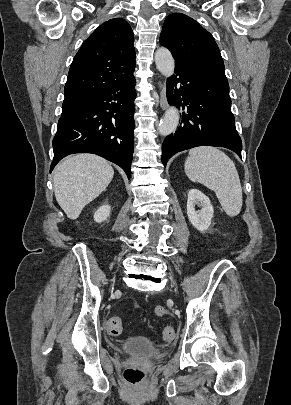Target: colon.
<instances>
[{"instance_id": "colon-1", "label": "colon", "mask_w": 291, "mask_h": 405, "mask_svg": "<svg viewBox=\"0 0 291 405\" xmlns=\"http://www.w3.org/2000/svg\"><path fill=\"white\" fill-rule=\"evenodd\" d=\"M155 313L162 317L168 314L167 310L162 306H157L155 308ZM108 331L112 336H119L122 333V320L119 316H114L108 321ZM162 337L165 342H172L176 337V332L173 327H165L162 332ZM124 379L131 384L140 383L144 377L145 372L140 367H128L123 373Z\"/></svg>"}]
</instances>
